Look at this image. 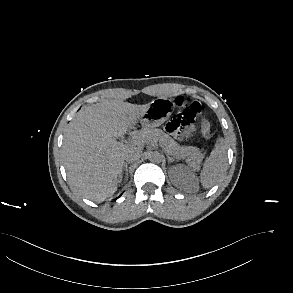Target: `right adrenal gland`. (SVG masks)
I'll list each match as a JSON object with an SVG mask.
<instances>
[{"instance_id": "right-adrenal-gland-1", "label": "right adrenal gland", "mask_w": 293, "mask_h": 293, "mask_svg": "<svg viewBox=\"0 0 293 293\" xmlns=\"http://www.w3.org/2000/svg\"><path fill=\"white\" fill-rule=\"evenodd\" d=\"M128 164H129V163L126 162V163L123 165L122 172H121V174H122L123 171H125V178H126V180L128 179Z\"/></svg>"}]
</instances>
